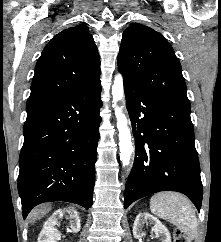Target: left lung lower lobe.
Returning a JSON list of instances; mask_svg holds the SVG:
<instances>
[{
  "mask_svg": "<svg viewBox=\"0 0 221 242\" xmlns=\"http://www.w3.org/2000/svg\"><path fill=\"white\" fill-rule=\"evenodd\" d=\"M124 91L136 142L124 207L152 193L177 191L200 211L203 189L190 110L153 97L125 76Z\"/></svg>",
  "mask_w": 221,
  "mask_h": 242,
  "instance_id": "left-lung-lower-lobe-1",
  "label": "left lung lower lobe"
}]
</instances>
